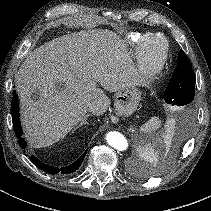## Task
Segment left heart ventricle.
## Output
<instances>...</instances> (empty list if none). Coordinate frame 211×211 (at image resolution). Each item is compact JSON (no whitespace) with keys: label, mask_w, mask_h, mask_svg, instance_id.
<instances>
[{"label":"left heart ventricle","mask_w":211,"mask_h":211,"mask_svg":"<svg viewBox=\"0 0 211 211\" xmlns=\"http://www.w3.org/2000/svg\"><path fill=\"white\" fill-rule=\"evenodd\" d=\"M163 43L159 38H151L146 44V54L147 56L155 60L162 52Z\"/></svg>","instance_id":"obj_1"}]
</instances>
